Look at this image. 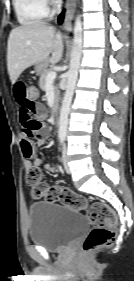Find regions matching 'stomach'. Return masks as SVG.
Here are the masks:
<instances>
[{
	"label": "stomach",
	"mask_w": 134,
	"mask_h": 281,
	"mask_svg": "<svg viewBox=\"0 0 134 281\" xmlns=\"http://www.w3.org/2000/svg\"><path fill=\"white\" fill-rule=\"evenodd\" d=\"M47 68V64L45 63H39V64H36L35 66V70L37 73H41L43 70H45Z\"/></svg>",
	"instance_id": "1"
}]
</instances>
